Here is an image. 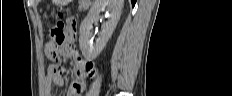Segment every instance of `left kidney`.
Returning a JSON list of instances; mask_svg holds the SVG:
<instances>
[{"label":"left kidney","mask_w":232,"mask_h":96,"mask_svg":"<svg viewBox=\"0 0 232 96\" xmlns=\"http://www.w3.org/2000/svg\"><path fill=\"white\" fill-rule=\"evenodd\" d=\"M123 2V0H95L93 3L89 13L80 25L79 32L80 49L87 60H94L106 46L120 19ZM106 7L111 10L109 20L102 25L101 35L93 45L90 42L93 23L99 20V13Z\"/></svg>","instance_id":"5707ae66"}]
</instances>
